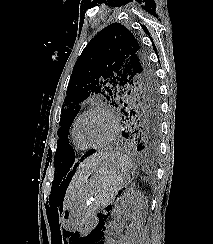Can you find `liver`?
Masks as SVG:
<instances>
[{
    "instance_id": "6515ba94",
    "label": "liver",
    "mask_w": 213,
    "mask_h": 244,
    "mask_svg": "<svg viewBox=\"0 0 213 244\" xmlns=\"http://www.w3.org/2000/svg\"><path fill=\"white\" fill-rule=\"evenodd\" d=\"M107 153H95L92 156L85 159L77 168L68 190L65 195L63 208L66 209L73 197L75 196L77 190L83 185L87 178L92 174L93 170L96 168L97 163L100 159L106 156Z\"/></svg>"
}]
</instances>
